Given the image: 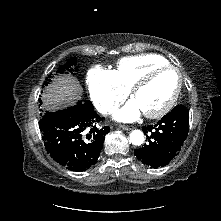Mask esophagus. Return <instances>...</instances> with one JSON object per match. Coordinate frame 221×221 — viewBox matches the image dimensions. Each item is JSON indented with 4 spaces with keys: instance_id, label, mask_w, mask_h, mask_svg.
<instances>
[{
    "instance_id": "obj_1",
    "label": "esophagus",
    "mask_w": 221,
    "mask_h": 221,
    "mask_svg": "<svg viewBox=\"0 0 221 221\" xmlns=\"http://www.w3.org/2000/svg\"><path fill=\"white\" fill-rule=\"evenodd\" d=\"M119 128H121V129H123V130H127V131H129V130L132 129V128H131L130 126H128V125H119Z\"/></svg>"
}]
</instances>
